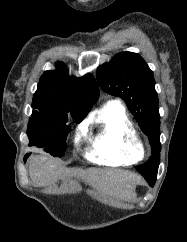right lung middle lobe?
<instances>
[{
    "label": "right lung middle lobe",
    "mask_w": 187,
    "mask_h": 242,
    "mask_svg": "<svg viewBox=\"0 0 187 242\" xmlns=\"http://www.w3.org/2000/svg\"><path fill=\"white\" fill-rule=\"evenodd\" d=\"M74 121L79 123L85 116L72 115ZM68 115H38L30 117L27 135L30 140L29 146L43 148L54 157H62L66 150V139L70 132L67 125Z\"/></svg>",
    "instance_id": "obj_1"
}]
</instances>
